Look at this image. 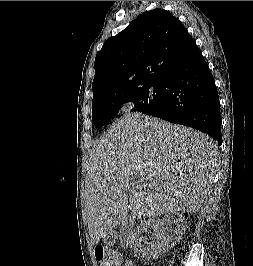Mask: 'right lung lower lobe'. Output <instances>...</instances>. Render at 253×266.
<instances>
[{"instance_id": "obj_1", "label": "right lung lower lobe", "mask_w": 253, "mask_h": 266, "mask_svg": "<svg viewBox=\"0 0 253 266\" xmlns=\"http://www.w3.org/2000/svg\"><path fill=\"white\" fill-rule=\"evenodd\" d=\"M163 84L161 105L147 115L198 129L221 145L219 96L202 53L172 71Z\"/></svg>"}]
</instances>
